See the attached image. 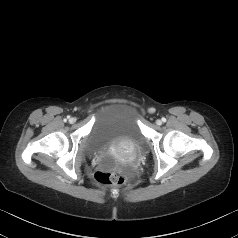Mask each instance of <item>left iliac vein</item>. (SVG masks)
I'll list each match as a JSON object with an SVG mask.
<instances>
[{
  "mask_svg": "<svg viewBox=\"0 0 238 238\" xmlns=\"http://www.w3.org/2000/svg\"><path fill=\"white\" fill-rule=\"evenodd\" d=\"M156 124H157V125H161V124H162L161 120H157V121H156Z\"/></svg>",
  "mask_w": 238,
  "mask_h": 238,
  "instance_id": "1",
  "label": "left iliac vein"
}]
</instances>
